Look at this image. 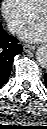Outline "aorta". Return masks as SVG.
<instances>
[{
	"label": "aorta",
	"mask_w": 47,
	"mask_h": 129,
	"mask_svg": "<svg viewBox=\"0 0 47 129\" xmlns=\"http://www.w3.org/2000/svg\"><path fill=\"white\" fill-rule=\"evenodd\" d=\"M36 59L41 67L47 66V48L46 46H40L36 51Z\"/></svg>",
	"instance_id": "762f6f07"
}]
</instances>
